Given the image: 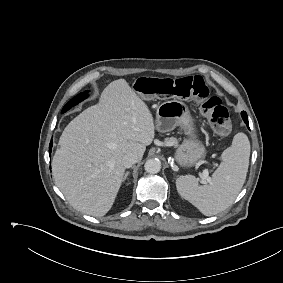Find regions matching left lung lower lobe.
Returning a JSON list of instances; mask_svg holds the SVG:
<instances>
[{
	"mask_svg": "<svg viewBox=\"0 0 283 283\" xmlns=\"http://www.w3.org/2000/svg\"><path fill=\"white\" fill-rule=\"evenodd\" d=\"M241 116H242V118H243V120H244V122L246 123V125H247V127H248V129H250L249 128V123H248V117H247V114H246V112H241Z\"/></svg>",
	"mask_w": 283,
	"mask_h": 283,
	"instance_id": "left-lung-lower-lobe-1",
	"label": "left lung lower lobe"
}]
</instances>
